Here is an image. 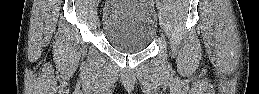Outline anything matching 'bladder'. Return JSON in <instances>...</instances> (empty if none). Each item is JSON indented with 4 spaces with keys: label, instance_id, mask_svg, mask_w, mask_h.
<instances>
[{
    "label": "bladder",
    "instance_id": "obj_1",
    "mask_svg": "<svg viewBox=\"0 0 259 94\" xmlns=\"http://www.w3.org/2000/svg\"><path fill=\"white\" fill-rule=\"evenodd\" d=\"M157 14L149 0H108L101 18V31L117 50L139 52L157 35Z\"/></svg>",
    "mask_w": 259,
    "mask_h": 94
}]
</instances>
